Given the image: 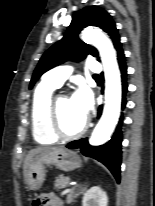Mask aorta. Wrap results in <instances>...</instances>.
Here are the masks:
<instances>
[{"label":"aorta","mask_w":155,"mask_h":206,"mask_svg":"<svg viewBox=\"0 0 155 206\" xmlns=\"http://www.w3.org/2000/svg\"><path fill=\"white\" fill-rule=\"evenodd\" d=\"M82 39L98 49L104 67L105 107L89 140L91 145L98 146L110 139L119 119L121 110L120 72L113 45L100 30L87 28L82 33Z\"/></svg>","instance_id":"762f6f07"}]
</instances>
